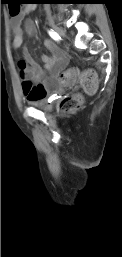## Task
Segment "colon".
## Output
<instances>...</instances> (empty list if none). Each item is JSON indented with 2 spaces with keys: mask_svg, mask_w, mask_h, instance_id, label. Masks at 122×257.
<instances>
[{
  "mask_svg": "<svg viewBox=\"0 0 122 257\" xmlns=\"http://www.w3.org/2000/svg\"><path fill=\"white\" fill-rule=\"evenodd\" d=\"M6 10H12V14L16 15L19 13V10H23V5H6ZM59 78L60 79L56 80V83L61 84L62 87H77V82H72L74 79H78L84 90L88 93L94 92L97 87V78L92 70L80 73L72 67H66L65 70H62V74L59 75ZM81 105L82 97L80 95L68 96L64 98L61 103L62 109L66 112H74L78 110Z\"/></svg>",
  "mask_w": 122,
  "mask_h": 257,
  "instance_id": "obj_1",
  "label": "colon"
}]
</instances>
